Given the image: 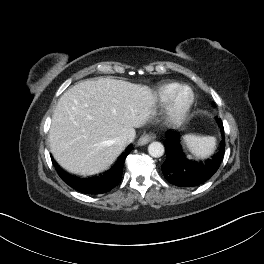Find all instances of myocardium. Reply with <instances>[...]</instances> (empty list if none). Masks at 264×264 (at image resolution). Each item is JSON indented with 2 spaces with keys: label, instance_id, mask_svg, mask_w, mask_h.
<instances>
[{
  "label": "myocardium",
  "instance_id": "f54148a6",
  "mask_svg": "<svg viewBox=\"0 0 264 264\" xmlns=\"http://www.w3.org/2000/svg\"><path fill=\"white\" fill-rule=\"evenodd\" d=\"M186 92V99H180L182 93ZM195 103V93L187 85L177 86L168 96L165 107V122L169 125H179L189 116Z\"/></svg>",
  "mask_w": 264,
  "mask_h": 264
}]
</instances>
